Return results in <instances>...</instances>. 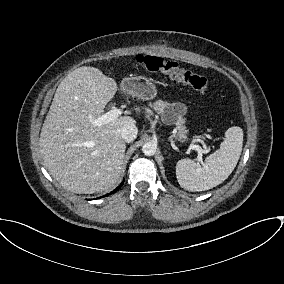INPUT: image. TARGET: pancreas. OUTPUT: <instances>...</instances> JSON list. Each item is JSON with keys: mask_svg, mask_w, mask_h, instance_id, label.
<instances>
[{"mask_svg": "<svg viewBox=\"0 0 284 284\" xmlns=\"http://www.w3.org/2000/svg\"><path fill=\"white\" fill-rule=\"evenodd\" d=\"M151 107L161 116V120L167 124L172 125L175 124L178 130L176 134V139L181 142H184L187 139V129L184 125L185 119L183 116L186 113V107L181 103H168L167 101L157 100L155 103L150 104ZM178 107H182L184 110L182 112H177ZM149 114L153 115V112L148 109ZM172 114V118L170 115Z\"/></svg>", "mask_w": 284, "mask_h": 284, "instance_id": "1", "label": "pancreas"}]
</instances>
